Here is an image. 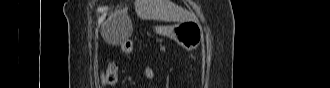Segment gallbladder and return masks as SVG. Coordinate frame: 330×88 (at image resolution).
<instances>
[{"mask_svg":"<svg viewBox=\"0 0 330 88\" xmlns=\"http://www.w3.org/2000/svg\"><path fill=\"white\" fill-rule=\"evenodd\" d=\"M133 28L128 21L121 20L115 28V34L119 43L126 41L132 34Z\"/></svg>","mask_w":330,"mask_h":88,"instance_id":"1","label":"gallbladder"}]
</instances>
